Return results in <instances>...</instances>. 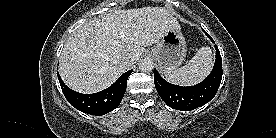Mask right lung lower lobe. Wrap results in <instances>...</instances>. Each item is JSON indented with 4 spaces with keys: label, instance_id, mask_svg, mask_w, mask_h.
I'll use <instances>...</instances> for the list:
<instances>
[{
    "label": "right lung lower lobe",
    "instance_id": "98d812e1",
    "mask_svg": "<svg viewBox=\"0 0 276 138\" xmlns=\"http://www.w3.org/2000/svg\"><path fill=\"white\" fill-rule=\"evenodd\" d=\"M132 71L129 70L122 74L107 89L93 94H81L73 91L63 83L59 74L58 78L65 98L73 107L84 113L100 116L118 107L125 94L127 79Z\"/></svg>",
    "mask_w": 276,
    "mask_h": 138
}]
</instances>
